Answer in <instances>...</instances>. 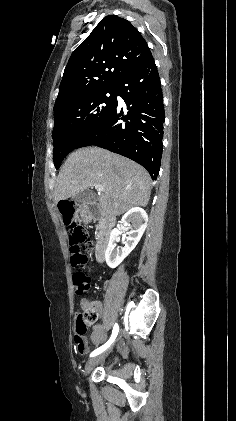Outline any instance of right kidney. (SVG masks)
<instances>
[{"instance_id":"obj_1","label":"right kidney","mask_w":236,"mask_h":421,"mask_svg":"<svg viewBox=\"0 0 236 421\" xmlns=\"http://www.w3.org/2000/svg\"><path fill=\"white\" fill-rule=\"evenodd\" d=\"M121 223H123L126 231L127 229H131V231L127 233L128 237H125V247H117V243L120 241L121 231L119 229H113L105 253V261L110 269H116L124 261L125 257H128L129 253L138 245L147 227V213H145L144 208H141V206H133L122 217Z\"/></svg>"}]
</instances>
